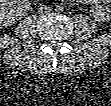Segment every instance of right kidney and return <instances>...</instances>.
<instances>
[{"label": "right kidney", "mask_w": 111, "mask_h": 106, "mask_svg": "<svg viewBox=\"0 0 111 106\" xmlns=\"http://www.w3.org/2000/svg\"><path fill=\"white\" fill-rule=\"evenodd\" d=\"M0 9L1 20L6 25L15 23L20 16V12L23 10L22 8H20V6L16 5V2L13 1H2Z\"/></svg>", "instance_id": "1"}]
</instances>
